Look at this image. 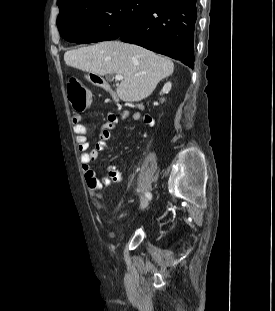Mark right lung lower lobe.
Returning a JSON list of instances; mask_svg holds the SVG:
<instances>
[{"label": "right lung lower lobe", "instance_id": "right-lung-lower-lobe-1", "mask_svg": "<svg viewBox=\"0 0 275 311\" xmlns=\"http://www.w3.org/2000/svg\"><path fill=\"white\" fill-rule=\"evenodd\" d=\"M197 0H159L120 33L122 41L180 60L194 67Z\"/></svg>", "mask_w": 275, "mask_h": 311}]
</instances>
